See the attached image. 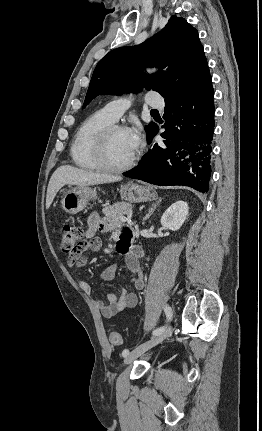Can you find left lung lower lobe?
<instances>
[{"mask_svg":"<svg viewBox=\"0 0 262 431\" xmlns=\"http://www.w3.org/2000/svg\"><path fill=\"white\" fill-rule=\"evenodd\" d=\"M212 78L183 95L165 99L161 133L164 138L145 154L126 177L162 186H188L207 192L211 176V141L214 134ZM159 128H153L150 143Z\"/></svg>","mask_w":262,"mask_h":431,"instance_id":"0a47b994","label":"left lung lower lobe"}]
</instances>
